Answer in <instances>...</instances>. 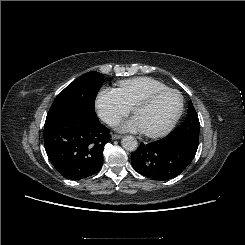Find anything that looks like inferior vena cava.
<instances>
[{
	"instance_id": "602c4592",
	"label": "inferior vena cava",
	"mask_w": 245,
	"mask_h": 245,
	"mask_svg": "<svg viewBox=\"0 0 245 245\" xmlns=\"http://www.w3.org/2000/svg\"><path fill=\"white\" fill-rule=\"evenodd\" d=\"M118 122H119L118 119H110L109 124H110V125H117Z\"/></svg>"
}]
</instances>
